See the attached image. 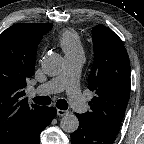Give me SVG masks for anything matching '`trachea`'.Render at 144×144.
Here are the masks:
<instances>
[{
  "mask_svg": "<svg viewBox=\"0 0 144 144\" xmlns=\"http://www.w3.org/2000/svg\"><path fill=\"white\" fill-rule=\"evenodd\" d=\"M33 101L39 105H49L51 103V98L49 96H37L33 98ZM56 106L61 110H66L68 108V103L64 99H59L56 102Z\"/></svg>",
  "mask_w": 144,
  "mask_h": 144,
  "instance_id": "obj_1",
  "label": "trachea"
}]
</instances>
